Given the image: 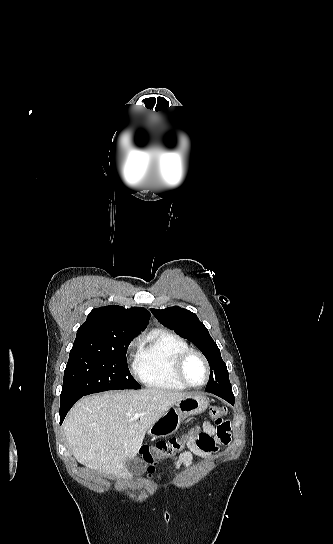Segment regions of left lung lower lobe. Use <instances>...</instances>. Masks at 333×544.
Segmentation results:
<instances>
[{"instance_id":"obj_1","label":"left lung lower lobe","mask_w":333,"mask_h":544,"mask_svg":"<svg viewBox=\"0 0 333 544\" xmlns=\"http://www.w3.org/2000/svg\"><path fill=\"white\" fill-rule=\"evenodd\" d=\"M211 393L223 398L224 400H226L227 402L231 404H234V395L232 392H211Z\"/></svg>"}]
</instances>
